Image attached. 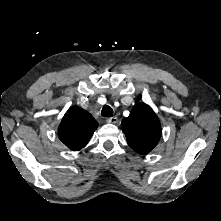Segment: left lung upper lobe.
I'll use <instances>...</instances> for the list:
<instances>
[{
	"instance_id": "5c2ea615",
	"label": "left lung upper lobe",
	"mask_w": 221,
	"mask_h": 221,
	"mask_svg": "<svg viewBox=\"0 0 221 221\" xmlns=\"http://www.w3.org/2000/svg\"><path fill=\"white\" fill-rule=\"evenodd\" d=\"M129 146L139 154L149 153L161 137L158 117L145 103L136 104L129 117L121 122Z\"/></svg>"
}]
</instances>
